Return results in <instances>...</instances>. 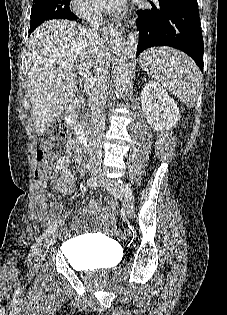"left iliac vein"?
I'll return each mask as SVG.
<instances>
[{"instance_id":"4c4485c4","label":"left iliac vein","mask_w":227,"mask_h":315,"mask_svg":"<svg viewBox=\"0 0 227 315\" xmlns=\"http://www.w3.org/2000/svg\"><path fill=\"white\" fill-rule=\"evenodd\" d=\"M100 185L104 186L115 198L122 201L125 216L128 219H132L134 216V205L131 201L132 190L130 187L120 180H112L105 177H101Z\"/></svg>"}]
</instances>
